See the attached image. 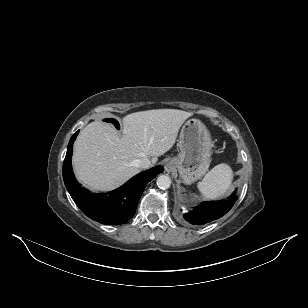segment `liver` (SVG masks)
I'll return each mask as SVG.
<instances>
[{"instance_id":"1","label":"liver","mask_w":308,"mask_h":308,"mask_svg":"<svg viewBox=\"0 0 308 308\" xmlns=\"http://www.w3.org/2000/svg\"><path fill=\"white\" fill-rule=\"evenodd\" d=\"M190 116L176 109L132 113L122 119V135L108 123L91 122L74 145L72 164L77 179L95 191L119 187L140 172L136 160L146 157L155 164L169 151Z\"/></svg>"}]
</instances>
